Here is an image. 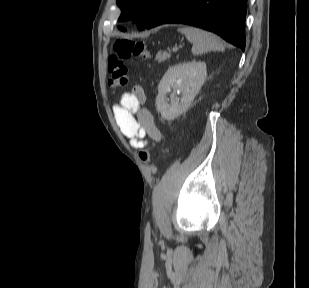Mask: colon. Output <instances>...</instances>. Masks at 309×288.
<instances>
[{
    "mask_svg": "<svg viewBox=\"0 0 309 288\" xmlns=\"http://www.w3.org/2000/svg\"><path fill=\"white\" fill-rule=\"evenodd\" d=\"M132 56H142L150 59L152 54L143 41L120 40L115 44V54L108 58L109 84L112 87H124L128 84V68L124 60ZM139 159L144 163L150 162V152L143 148L139 152Z\"/></svg>",
    "mask_w": 309,
    "mask_h": 288,
    "instance_id": "1",
    "label": "colon"
}]
</instances>
